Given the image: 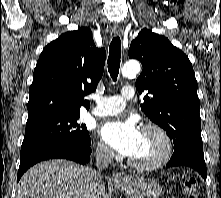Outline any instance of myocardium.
<instances>
[{
	"label": "myocardium",
	"instance_id": "myocardium-1",
	"mask_svg": "<svg viewBox=\"0 0 221 198\" xmlns=\"http://www.w3.org/2000/svg\"><path fill=\"white\" fill-rule=\"evenodd\" d=\"M142 132L154 133L161 141L162 149L159 155L149 162H137L131 158H128V164L139 171H150L157 169L164 165L172 154V142L169 135L164 129L156 124H146L142 127Z\"/></svg>",
	"mask_w": 221,
	"mask_h": 198
}]
</instances>
